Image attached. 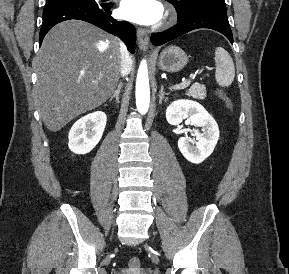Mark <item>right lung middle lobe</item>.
Listing matches in <instances>:
<instances>
[{
    "label": "right lung middle lobe",
    "mask_w": 289,
    "mask_h": 274,
    "mask_svg": "<svg viewBox=\"0 0 289 274\" xmlns=\"http://www.w3.org/2000/svg\"><path fill=\"white\" fill-rule=\"evenodd\" d=\"M84 1L94 2V0H46L45 6H51V5H56L60 3H66V2H84Z\"/></svg>",
    "instance_id": "1"
}]
</instances>
